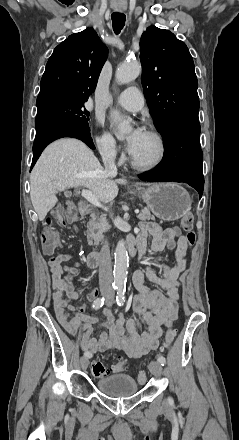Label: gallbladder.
I'll use <instances>...</instances> for the list:
<instances>
[{"label":"gallbladder","mask_w":239,"mask_h":440,"mask_svg":"<svg viewBox=\"0 0 239 440\" xmlns=\"http://www.w3.org/2000/svg\"><path fill=\"white\" fill-rule=\"evenodd\" d=\"M64 192H65V196H66V198H71L72 190H67V189H66Z\"/></svg>","instance_id":"obj_1"}]
</instances>
